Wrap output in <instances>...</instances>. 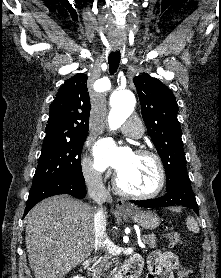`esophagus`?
<instances>
[{
	"instance_id": "34e87169",
	"label": "esophagus",
	"mask_w": 221,
	"mask_h": 278,
	"mask_svg": "<svg viewBox=\"0 0 221 278\" xmlns=\"http://www.w3.org/2000/svg\"><path fill=\"white\" fill-rule=\"evenodd\" d=\"M116 208L120 211H126L130 209V206L124 199H117Z\"/></svg>"
}]
</instances>
